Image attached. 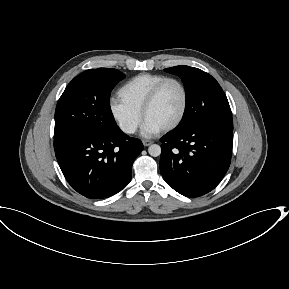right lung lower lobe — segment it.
<instances>
[{
  "label": "right lung lower lobe",
  "instance_id": "obj_1",
  "mask_svg": "<svg viewBox=\"0 0 289 289\" xmlns=\"http://www.w3.org/2000/svg\"><path fill=\"white\" fill-rule=\"evenodd\" d=\"M142 150L139 139L129 137L117 126L83 134L56 148L55 155L74 190L90 199H103L130 182L133 162Z\"/></svg>",
  "mask_w": 289,
  "mask_h": 289
}]
</instances>
